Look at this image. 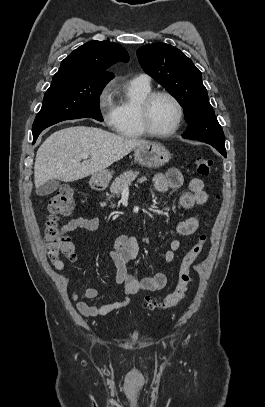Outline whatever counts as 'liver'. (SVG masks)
I'll use <instances>...</instances> for the list:
<instances>
[{"label": "liver", "mask_w": 265, "mask_h": 407, "mask_svg": "<svg viewBox=\"0 0 265 407\" xmlns=\"http://www.w3.org/2000/svg\"><path fill=\"white\" fill-rule=\"evenodd\" d=\"M146 143L145 140L122 137L95 127L61 129L51 134L36 153L35 186L38 188L54 179L64 182L83 179L105 170ZM82 155L91 158L82 161Z\"/></svg>", "instance_id": "1"}]
</instances>
